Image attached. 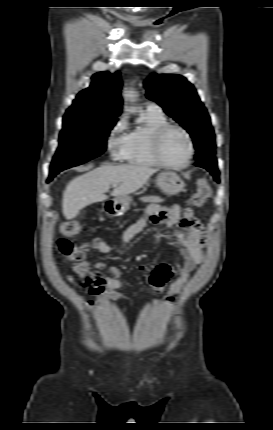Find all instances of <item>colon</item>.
<instances>
[{
	"instance_id": "5ec220e1",
	"label": "colon",
	"mask_w": 273,
	"mask_h": 430,
	"mask_svg": "<svg viewBox=\"0 0 273 430\" xmlns=\"http://www.w3.org/2000/svg\"><path fill=\"white\" fill-rule=\"evenodd\" d=\"M198 188L188 198V205L193 208L201 207L210 197L211 190L204 179H200L197 182ZM81 230V224L77 220H71L63 224L61 232L64 238L57 241V251L62 259L72 262H82L89 252L90 247L86 244L75 245L70 240L71 237L77 235ZM84 286V283L82 284ZM88 289V287H85ZM91 292V291H90Z\"/></svg>"
}]
</instances>
